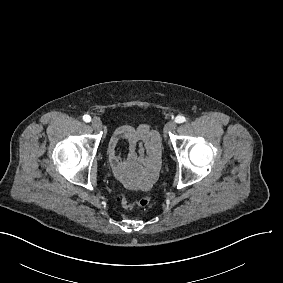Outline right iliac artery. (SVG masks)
<instances>
[{
	"label": "right iliac artery",
	"instance_id": "obj_1",
	"mask_svg": "<svg viewBox=\"0 0 283 283\" xmlns=\"http://www.w3.org/2000/svg\"><path fill=\"white\" fill-rule=\"evenodd\" d=\"M83 120H84L85 122H90V121H91V117H90L89 115H84V116H83Z\"/></svg>",
	"mask_w": 283,
	"mask_h": 283
}]
</instances>
